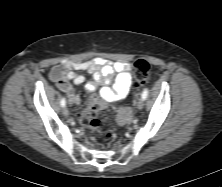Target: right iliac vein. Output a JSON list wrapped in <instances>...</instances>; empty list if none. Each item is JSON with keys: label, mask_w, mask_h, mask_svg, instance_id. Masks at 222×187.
Listing matches in <instances>:
<instances>
[{"label": "right iliac vein", "mask_w": 222, "mask_h": 187, "mask_svg": "<svg viewBox=\"0 0 222 187\" xmlns=\"http://www.w3.org/2000/svg\"><path fill=\"white\" fill-rule=\"evenodd\" d=\"M62 113H63L64 115H68V113H69L68 108L64 106V107L62 108Z\"/></svg>", "instance_id": "1"}]
</instances>
